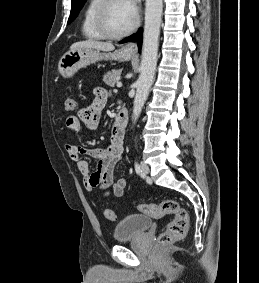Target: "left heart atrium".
Instances as JSON below:
<instances>
[{"label": "left heart atrium", "instance_id": "1", "mask_svg": "<svg viewBox=\"0 0 259 283\" xmlns=\"http://www.w3.org/2000/svg\"><path fill=\"white\" fill-rule=\"evenodd\" d=\"M129 8L135 13L138 0H125Z\"/></svg>", "mask_w": 259, "mask_h": 283}]
</instances>
